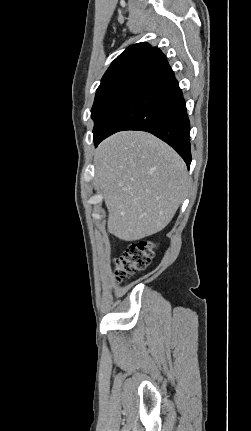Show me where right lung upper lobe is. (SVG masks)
Segmentation results:
<instances>
[{
	"label": "right lung upper lobe",
	"mask_w": 251,
	"mask_h": 431,
	"mask_svg": "<svg viewBox=\"0 0 251 431\" xmlns=\"http://www.w3.org/2000/svg\"><path fill=\"white\" fill-rule=\"evenodd\" d=\"M159 51L160 50L157 47H153L146 42H141L129 46L112 62V64L104 74L102 80L107 78L116 70L126 65L134 63H145L149 65V63L158 54Z\"/></svg>",
	"instance_id": "1"
}]
</instances>
